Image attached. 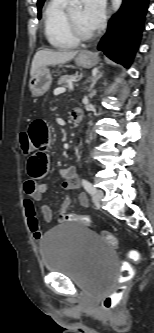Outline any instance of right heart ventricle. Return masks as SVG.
<instances>
[{"instance_id": "obj_1", "label": "right heart ventricle", "mask_w": 154, "mask_h": 333, "mask_svg": "<svg viewBox=\"0 0 154 333\" xmlns=\"http://www.w3.org/2000/svg\"><path fill=\"white\" fill-rule=\"evenodd\" d=\"M66 0H49L43 13L44 33L49 44L60 50L73 49L79 41L71 34L65 18Z\"/></svg>"}]
</instances>
